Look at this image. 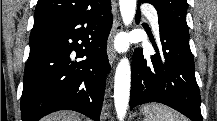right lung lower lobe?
Segmentation results:
<instances>
[{
  "instance_id": "obj_1",
  "label": "right lung lower lobe",
  "mask_w": 217,
  "mask_h": 121,
  "mask_svg": "<svg viewBox=\"0 0 217 121\" xmlns=\"http://www.w3.org/2000/svg\"><path fill=\"white\" fill-rule=\"evenodd\" d=\"M111 26L110 0H95L75 16L34 24L23 79L22 121H38L63 109L99 121Z\"/></svg>"
}]
</instances>
